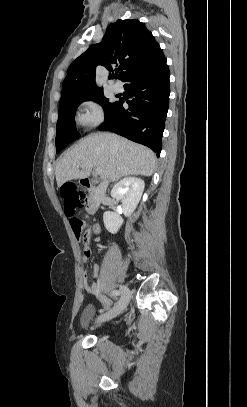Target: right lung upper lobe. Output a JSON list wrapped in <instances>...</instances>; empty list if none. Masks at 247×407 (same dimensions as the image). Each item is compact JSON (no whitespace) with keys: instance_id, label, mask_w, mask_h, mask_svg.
I'll return each instance as SVG.
<instances>
[{"instance_id":"right-lung-upper-lobe-1","label":"right lung upper lobe","mask_w":247,"mask_h":407,"mask_svg":"<svg viewBox=\"0 0 247 407\" xmlns=\"http://www.w3.org/2000/svg\"><path fill=\"white\" fill-rule=\"evenodd\" d=\"M163 58L162 49L144 23L137 19L117 20L108 26L100 43L72 62L62 85L60 104L103 91L95 83L97 65L109 71L121 70L120 79L125 81L134 71ZM113 77L110 74L109 79Z\"/></svg>"}]
</instances>
